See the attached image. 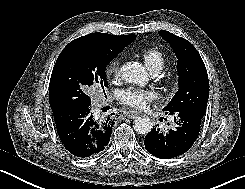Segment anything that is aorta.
<instances>
[{"label": "aorta", "mask_w": 245, "mask_h": 189, "mask_svg": "<svg viewBox=\"0 0 245 189\" xmlns=\"http://www.w3.org/2000/svg\"><path fill=\"white\" fill-rule=\"evenodd\" d=\"M121 75L124 81L131 84L145 85L149 80L145 68L137 62L125 63ZM133 128L137 133L146 135L152 130L153 123L148 117H136Z\"/></svg>", "instance_id": "aorta-1"}]
</instances>
